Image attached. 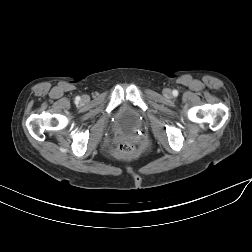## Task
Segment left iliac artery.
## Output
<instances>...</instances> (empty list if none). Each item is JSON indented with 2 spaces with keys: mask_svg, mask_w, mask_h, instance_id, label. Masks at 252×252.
<instances>
[{
  "mask_svg": "<svg viewBox=\"0 0 252 252\" xmlns=\"http://www.w3.org/2000/svg\"><path fill=\"white\" fill-rule=\"evenodd\" d=\"M177 93H178V92H177L176 90H175V91H173V94H174V95H177Z\"/></svg>",
  "mask_w": 252,
  "mask_h": 252,
  "instance_id": "left-iliac-artery-1",
  "label": "left iliac artery"
}]
</instances>
